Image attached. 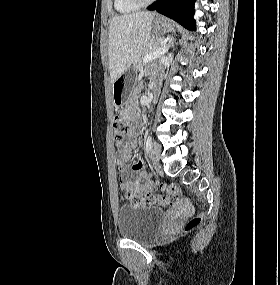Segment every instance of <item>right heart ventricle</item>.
Segmentation results:
<instances>
[{
  "label": "right heart ventricle",
  "instance_id": "1",
  "mask_svg": "<svg viewBox=\"0 0 280 285\" xmlns=\"http://www.w3.org/2000/svg\"><path fill=\"white\" fill-rule=\"evenodd\" d=\"M114 8L118 13L128 14L139 9V5L131 0H114Z\"/></svg>",
  "mask_w": 280,
  "mask_h": 285
}]
</instances>
